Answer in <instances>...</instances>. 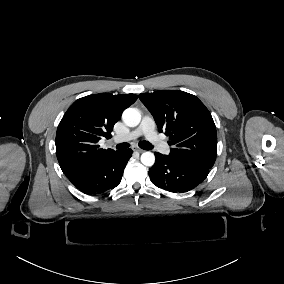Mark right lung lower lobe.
Listing matches in <instances>:
<instances>
[{"label": "right lung lower lobe", "mask_w": 284, "mask_h": 284, "mask_svg": "<svg viewBox=\"0 0 284 284\" xmlns=\"http://www.w3.org/2000/svg\"><path fill=\"white\" fill-rule=\"evenodd\" d=\"M132 156V150L116 151L74 186L88 195H98L115 188L120 182L124 168Z\"/></svg>", "instance_id": "98d812e1"}]
</instances>
